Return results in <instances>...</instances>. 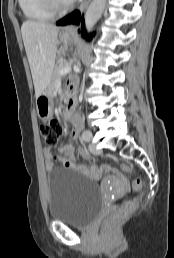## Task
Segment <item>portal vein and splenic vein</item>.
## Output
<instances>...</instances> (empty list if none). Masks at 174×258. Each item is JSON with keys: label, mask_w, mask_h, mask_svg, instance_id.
Masks as SVG:
<instances>
[{"label": "portal vein and splenic vein", "mask_w": 174, "mask_h": 258, "mask_svg": "<svg viewBox=\"0 0 174 258\" xmlns=\"http://www.w3.org/2000/svg\"><path fill=\"white\" fill-rule=\"evenodd\" d=\"M71 71V66L70 65H67L66 67L62 68L60 71H59V74L60 75H64V74H67Z\"/></svg>", "instance_id": "1"}]
</instances>
